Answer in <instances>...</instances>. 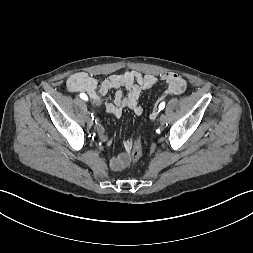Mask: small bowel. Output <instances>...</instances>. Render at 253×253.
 <instances>
[{"instance_id":"obj_1","label":"small bowel","mask_w":253,"mask_h":253,"mask_svg":"<svg viewBox=\"0 0 253 253\" xmlns=\"http://www.w3.org/2000/svg\"><path fill=\"white\" fill-rule=\"evenodd\" d=\"M159 81L167 85V90L162 97L167 94L180 95L186 90L185 79L177 73L168 72L157 77L135 70L112 74L102 82H98L96 78L86 72H76L68 77L66 86L70 92L88 94L93 105L102 106L107 113L116 117H120L124 109H130L135 115L141 116L143 109L139 105V98L142 92L152 88ZM122 87L127 90L126 94L122 92ZM112 89H115L116 92L111 98L108 96V92ZM157 114V108H155L150 114V119L155 120ZM97 133L101 141L109 146L113 144V139L103 126H97ZM132 144L131 139L124 142L125 153L113 157L110 161L112 170L120 171L128 165V153Z\"/></svg>"}]
</instances>
